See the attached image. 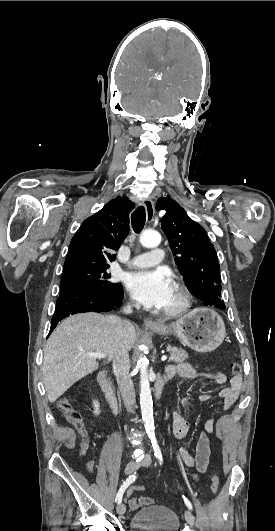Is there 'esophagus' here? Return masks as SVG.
<instances>
[{
    "label": "esophagus",
    "instance_id": "1",
    "mask_svg": "<svg viewBox=\"0 0 275 531\" xmlns=\"http://www.w3.org/2000/svg\"><path fill=\"white\" fill-rule=\"evenodd\" d=\"M144 206L146 209L147 221L148 223H151V221H153L155 212L154 203L151 199H147L146 201H144ZM144 326L146 328H157L159 324L153 321L152 319L146 318L144 319Z\"/></svg>",
    "mask_w": 275,
    "mask_h": 531
}]
</instances>
